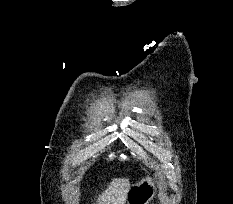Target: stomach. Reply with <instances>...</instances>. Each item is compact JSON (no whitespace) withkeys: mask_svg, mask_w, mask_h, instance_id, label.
<instances>
[{"mask_svg":"<svg viewBox=\"0 0 233 204\" xmlns=\"http://www.w3.org/2000/svg\"><path fill=\"white\" fill-rule=\"evenodd\" d=\"M156 182L146 176L140 182L132 184L126 195V204H149L156 193Z\"/></svg>","mask_w":233,"mask_h":204,"instance_id":"1","label":"stomach"}]
</instances>
